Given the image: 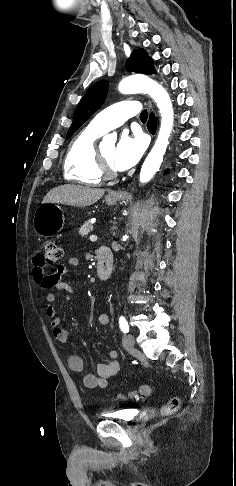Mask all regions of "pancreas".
<instances>
[{
    "label": "pancreas",
    "instance_id": "pancreas-1",
    "mask_svg": "<svg viewBox=\"0 0 236 486\" xmlns=\"http://www.w3.org/2000/svg\"><path fill=\"white\" fill-rule=\"evenodd\" d=\"M93 230V226L89 221L85 222L79 229V234L86 237Z\"/></svg>",
    "mask_w": 236,
    "mask_h": 486
}]
</instances>
